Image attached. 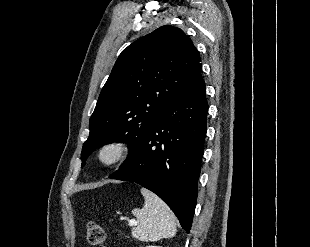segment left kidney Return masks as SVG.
Returning <instances> with one entry per match:
<instances>
[{"instance_id":"5707ae66","label":"left kidney","mask_w":310,"mask_h":247,"mask_svg":"<svg viewBox=\"0 0 310 247\" xmlns=\"http://www.w3.org/2000/svg\"><path fill=\"white\" fill-rule=\"evenodd\" d=\"M147 247H158V246H147Z\"/></svg>"}]
</instances>
